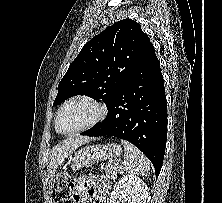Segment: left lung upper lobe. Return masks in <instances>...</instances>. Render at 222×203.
Segmentation results:
<instances>
[{
    "mask_svg": "<svg viewBox=\"0 0 222 203\" xmlns=\"http://www.w3.org/2000/svg\"><path fill=\"white\" fill-rule=\"evenodd\" d=\"M149 37L141 25L121 20L93 37L70 64L58 85L54 106L76 95L107 106L145 53Z\"/></svg>",
    "mask_w": 222,
    "mask_h": 203,
    "instance_id": "obj_1",
    "label": "left lung upper lobe"
}]
</instances>
